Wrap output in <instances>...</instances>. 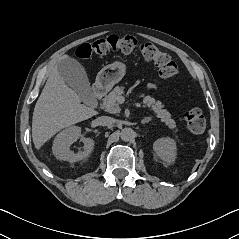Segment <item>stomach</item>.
<instances>
[{
  "label": "stomach",
  "instance_id": "1",
  "mask_svg": "<svg viewBox=\"0 0 239 239\" xmlns=\"http://www.w3.org/2000/svg\"><path fill=\"white\" fill-rule=\"evenodd\" d=\"M125 66L120 62H114L105 66L97 75L96 84L103 89H111L124 77Z\"/></svg>",
  "mask_w": 239,
  "mask_h": 239
}]
</instances>
